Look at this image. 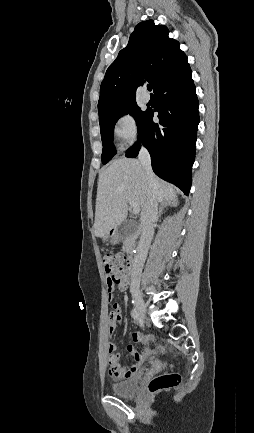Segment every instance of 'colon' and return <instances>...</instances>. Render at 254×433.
<instances>
[{"label":"colon","mask_w":254,"mask_h":433,"mask_svg":"<svg viewBox=\"0 0 254 433\" xmlns=\"http://www.w3.org/2000/svg\"><path fill=\"white\" fill-rule=\"evenodd\" d=\"M104 269L107 274V284L128 282V266L124 256L117 253L106 254L103 257ZM180 382V376L177 373H164L154 377L147 386L149 394L168 390L175 387Z\"/></svg>","instance_id":"colon-1"}]
</instances>
